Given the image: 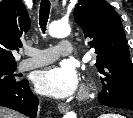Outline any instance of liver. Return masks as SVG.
<instances>
[{"mask_svg": "<svg viewBox=\"0 0 133 118\" xmlns=\"http://www.w3.org/2000/svg\"><path fill=\"white\" fill-rule=\"evenodd\" d=\"M0 118H24V116L16 111L0 107Z\"/></svg>", "mask_w": 133, "mask_h": 118, "instance_id": "1", "label": "liver"}]
</instances>
